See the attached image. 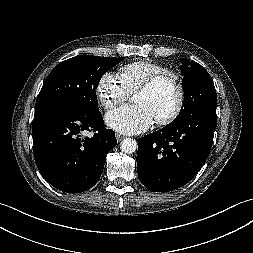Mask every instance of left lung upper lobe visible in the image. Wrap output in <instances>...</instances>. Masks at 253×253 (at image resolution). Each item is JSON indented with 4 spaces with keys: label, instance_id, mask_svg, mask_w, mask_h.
Here are the masks:
<instances>
[{
    "label": "left lung upper lobe",
    "instance_id": "left-lung-upper-lobe-1",
    "mask_svg": "<svg viewBox=\"0 0 253 253\" xmlns=\"http://www.w3.org/2000/svg\"><path fill=\"white\" fill-rule=\"evenodd\" d=\"M184 102L177 118L166 127L176 125L199 110L216 111L217 94L209 73L199 63L181 59Z\"/></svg>",
    "mask_w": 253,
    "mask_h": 253
}]
</instances>
